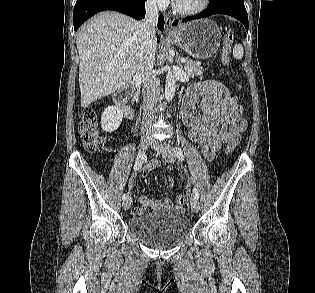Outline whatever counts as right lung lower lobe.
<instances>
[{
    "instance_id": "98d812e1",
    "label": "right lung lower lobe",
    "mask_w": 315,
    "mask_h": 293,
    "mask_svg": "<svg viewBox=\"0 0 315 293\" xmlns=\"http://www.w3.org/2000/svg\"><path fill=\"white\" fill-rule=\"evenodd\" d=\"M105 10H115L140 20L145 17V0H77L73 12L74 30L77 31L94 14ZM158 29H164L162 15L158 19Z\"/></svg>"
}]
</instances>
